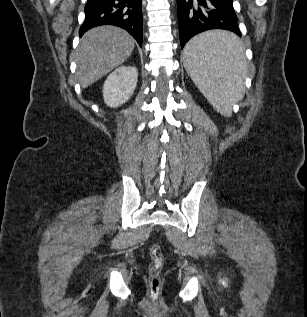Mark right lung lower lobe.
<instances>
[{"label": "right lung lower lobe", "instance_id": "right-lung-lower-lobe-1", "mask_svg": "<svg viewBox=\"0 0 307 317\" xmlns=\"http://www.w3.org/2000/svg\"><path fill=\"white\" fill-rule=\"evenodd\" d=\"M107 24L125 29L142 46L141 0H88L80 36L93 27Z\"/></svg>", "mask_w": 307, "mask_h": 317}]
</instances>
